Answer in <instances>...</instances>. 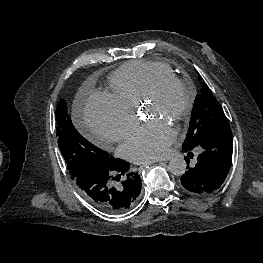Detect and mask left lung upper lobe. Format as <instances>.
Wrapping results in <instances>:
<instances>
[{
    "label": "left lung upper lobe",
    "instance_id": "1",
    "mask_svg": "<svg viewBox=\"0 0 263 263\" xmlns=\"http://www.w3.org/2000/svg\"><path fill=\"white\" fill-rule=\"evenodd\" d=\"M199 80H202L199 76ZM221 127H230L221 105L203 81L192 110L189 130L182 148L191 149L207 134Z\"/></svg>",
    "mask_w": 263,
    "mask_h": 263
}]
</instances>
